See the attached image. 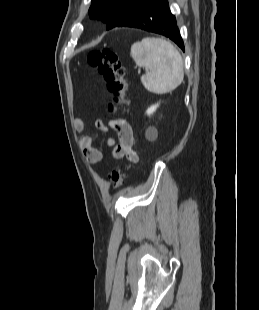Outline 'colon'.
<instances>
[{
  "instance_id": "colon-1",
  "label": "colon",
  "mask_w": 259,
  "mask_h": 310,
  "mask_svg": "<svg viewBox=\"0 0 259 310\" xmlns=\"http://www.w3.org/2000/svg\"><path fill=\"white\" fill-rule=\"evenodd\" d=\"M88 62L103 76L112 94V99L107 104V112L111 114L117 109L125 108L129 103L128 84L118 53L110 47L93 50L88 55ZM126 177L125 167L116 168L109 174V179L114 186L121 185Z\"/></svg>"
}]
</instances>
